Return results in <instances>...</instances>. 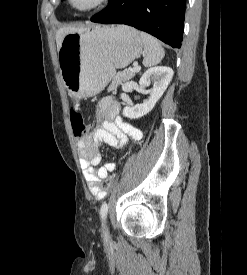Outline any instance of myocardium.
<instances>
[{
  "instance_id": "f54148a6",
  "label": "myocardium",
  "mask_w": 247,
  "mask_h": 275,
  "mask_svg": "<svg viewBox=\"0 0 247 275\" xmlns=\"http://www.w3.org/2000/svg\"><path fill=\"white\" fill-rule=\"evenodd\" d=\"M109 2V0H95L93 4H91L90 6L88 7H85V8H78V7H75L73 5V0H67V4L68 6L75 12H78V13H88V12H92V11H95L101 7H103L105 4H107Z\"/></svg>"
}]
</instances>
